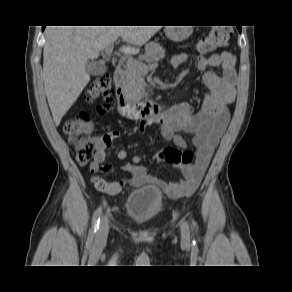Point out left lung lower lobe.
<instances>
[{
  "instance_id": "obj_1",
  "label": "left lung lower lobe",
  "mask_w": 292,
  "mask_h": 292,
  "mask_svg": "<svg viewBox=\"0 0 292 292\" xmlns=\"http://www.w3.org/2000/svg\"><path fill=\"white\" fill-rule=\"evenodd\" d=\"M238 30L241 32V27H238Z\"/></svg>"
}]
</instances>
